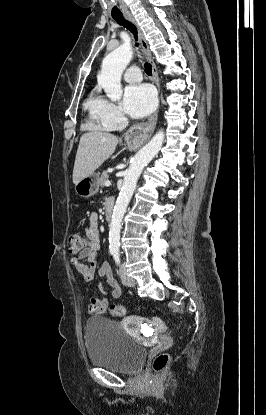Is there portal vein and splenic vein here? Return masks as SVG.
<instances>
[{"label":"portal vein and splenic vein","instance_id":"obj_1","mask_svg":"<svg viewBox=\"0 0 266 415\" xmlns=\"http://www.w3.org/2000/svg\"><path fill=\"white\" fill-rule=\"evenodd\" d=\"M111 185V182L109 181V180H107L106 182H105V186H110Z\"/></svg>","mask_w":266,"mask_h":415}]
</instances>
